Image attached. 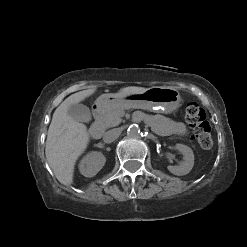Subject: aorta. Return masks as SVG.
I'll use <instances>...</instances> for the list:
<instances>
[{
    "instance_id": "1",
    "label": "aorta",
    "mask_w": 247,
    "mask_h": 247,
    "mask_svg": "<svg viewBox=\"0 0 247 247\" xmlns=\"http://www.w3.org/2000/svg\"><path fill=\"white\" fill-rule=\"evenodd\" d=\"M140 127L137 124H132L127 130V135L132 138H136L140 135Z\"/></svg>"
}]
</instances>
